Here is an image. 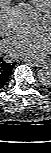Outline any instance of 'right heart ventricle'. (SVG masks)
Wrapping results in <instances>:
<instances>
[{"label":"right heart ventricle","instance_id":"1","mask_svg":"<svg viewBox=\"0 0 51 153\" xmlns=\"http://www.w3.org/2000/svg\"><path fill=\"white\" fill-rule=\"evenodd\" d=\"M32 4L41 13H46L51 10V0H30Z\"/></svg>","mask_w":51,"mask_h":153}]
</instances>
